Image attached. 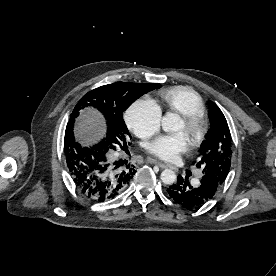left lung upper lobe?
<instances>
[{
	"label": "left lung upper lobe",
	"instance_id": "left-lung-upper-lobe-1",
	"mask_svg": "<svg viewBox=\"0 0 276 276\" xmlns=\"http://www.w3.org/2000/svg\"><path fill=\"white\" fill-rule=\"evenodd\" d=\"M211 129L201 145V153L196 167L203 175L209 174L223 185L231 165L232 138L227 121L219 107L209 101Z\"/></svg>",
	"mask_w": 276,
	"mask_h": 276
}]
</instances>
